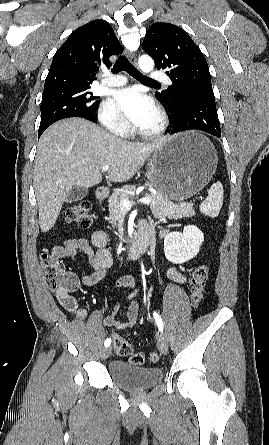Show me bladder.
<instances>
[{"instance_id": "31cf9c89", "label": "bladder", "mask_w": 269, "mask_h": 445, "mask_svg": "<svg viewBox=\"0 0 269 445\" xmlns=\"http://www.w3.org/2000/svg\"><path fill=\"white\" fill-rule=\"evenodd\" d=\"M109 374L117 386L130 391L150 389L162 378L159 367H138L120 360L109 364Z\"/></svg>"}]
</instances>
